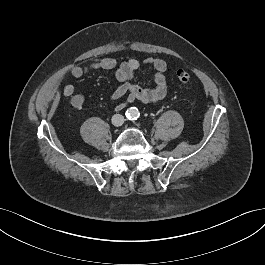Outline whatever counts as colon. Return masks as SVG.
I'll return each mask as SVG.
<instances>
[{"label":"colon","instance_id":"colon-1","mask_svg":"<svg viewBox=\"0 0 265 265\" xmlns=\"http://www.w3.org/2000/svg\"><path fill=\"white\" fill-rule=\"evenodd\" d=\"M177 77L181 85L186 86L191 82V76L185 71H179Z\"/></svg>","mask_w":265,"mask_h":265}]
</instances>
